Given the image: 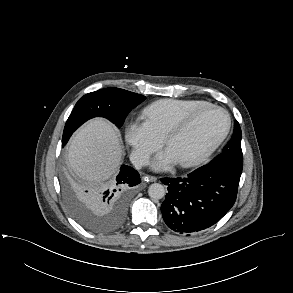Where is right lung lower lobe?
Returning a JSON list of instances; mask_svg holds the SVG:
<instances>
[{
    "mask_svg": "<svg viewBox=\"0 0 293 293\" xmlns=\"http://www.w3.org/2000/svg\"><path fill=\"white\" fill-rule=\"evenodd\" d=\"M141 182L139 173L122 165L119 175L111 183L96 189L81 188L84 202L97 214H109L117 229L126 215V191Z\"/></svg>",
    "mask_w": 293,
    "mask_h": 293,
    "instance_id": "1",
    "label": "right lung lower lobe"
}]
</instances>
